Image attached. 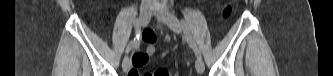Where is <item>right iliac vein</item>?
I'll return each instance as SVG.
<instances>
[{"label": "right iliac vein", "mask_w": 333, "mask_h": 76, "mask_svg": "<svg viewBox=\"0 0 333 76\" xmlns=\"http://www.w3.org/2000/svg\"><path fill=\"white\" fill-rule=\"evenodd\" d=\"M151 17V10L148 5L142 6L140 10V16H139V24L140 26H145ZM131 66L130 59L128 57H125L122 63L123 70L126 72L129 70Z\"/></svg>", "instance_id": "obj_1"}]
</instances>
